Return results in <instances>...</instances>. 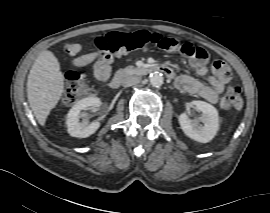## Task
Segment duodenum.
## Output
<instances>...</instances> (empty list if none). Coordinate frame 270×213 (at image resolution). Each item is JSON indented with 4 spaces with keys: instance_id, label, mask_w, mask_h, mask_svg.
<instances>
[{
    "instance_id": "1",
    "label": "duodenum",
    "mask_w": 270,
    "mask_h": 213,
    "mask_svg": "<svg viewBox=\"0 0 270 213\" xmlns=\"http://www.w3.org/2000/svg\"><path fill=\"white\" fill-rule=\"evenodd\" d=\"M141 72L143 74L151 73V72H160L167 76L168 78H173L174 74L173 72L169 69V67L166 64H154L149 67H144L141 69ZM127 71L121 70L119 71L109 82L108 88L111 90H115L120 86V83L122 79H124L127 76Z\"/></svg>"
}]
</instances>
